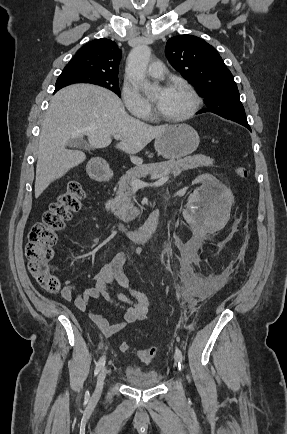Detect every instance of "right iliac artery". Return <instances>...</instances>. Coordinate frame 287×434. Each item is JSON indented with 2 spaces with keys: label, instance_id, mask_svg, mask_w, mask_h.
Listing matches in <instances>:
<instances>
[{
  "label": "right iliac artery",
  "instance_id": "82829eb1",
  "mask_svg": "<svg viewBox=\"0 0 287 434\" xmlns=\"http://www.w3.org/2000/svg\"><path fill=\"white\" fill-rule=\"evenodd\" d=\"M105 363V357H102L99 359V361L96 364L95 370H94V375L96 376L99 371L102 369V367L104 366ZM86 396H89V392H87Z\"/></svg>",
  "mask_w": 287,
  "mask_h": 434
}]
</instances>
